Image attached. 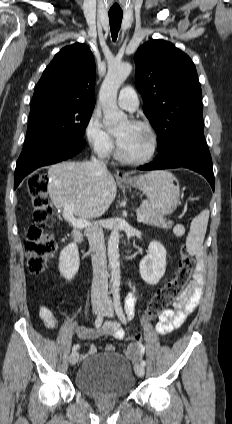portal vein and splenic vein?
<instances>
[{
	"mask_svg": "<svg viewBox=\"0 0 232 424\" xmlns=\"http://www.w3.org/2000/svg\"><path fill=\"white\" fill-rule=\"evenodd\" d=\"M73 209H74L73 206H68L64 209L63 216H64L65 220H67L71 225H73L74 227H77V228H87V227H89L91 223L88 220L74 218ZM137 220L139 222H142L144 220V215L137 212Z\"/></svg>",
	"mask_w": 232,
	"mask_h": 424,
	"instance_id": "portal-vein-and-splenic-vein-1",
	"label": "portal vein and splenic vein"
}]
</instances>
